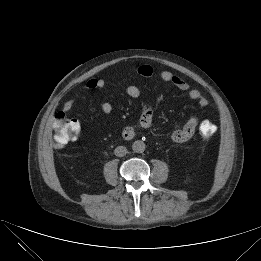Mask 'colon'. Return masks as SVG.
<instances>
[{"instance_id":"obj_1","label":"colon","mask_w":261,"mask_h":261,"mask_svg":"<svg viewBox=\"0 0 261 261\" xmlns=\"http://www.w3.org/2000/svg\"><path fill=\"white\" fill-rule=\"evenodd\" d=\"M54 144L64 147L78 137L79 129L75 119L68 118L63 112L58 113L53 121ZM216 133V126L210 121H203L200 125L202 139H210Z\"/></svg>"}]
</instances>
